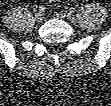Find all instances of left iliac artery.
<instances>
[{"mask_svg":"<svg viewBox=\"0 0 111 106\" xmlns=\"http://www.w3.org/2000/svg\"><path fill=\"white\" fill-rule=\"evenodd\" d=\"M69 11H70V13H74V12L76 11V9H75L74 7H71V8L69 9Z\"/></svg>","mask_w":111,"mask_h":106,"instance_id":"left-iliac-artery-1","label":"left iliac artery"}]
</instances>
